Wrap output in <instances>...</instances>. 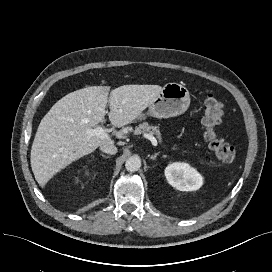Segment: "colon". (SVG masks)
<instances>
[{
	"label": "colon",
	"instance_id": "1",
	"mask_svg": "<svg viewBox=\"0 0 272 272\" xmlns=\"http://www.w3.org/2000/svg\"><path fill=\"white\" fill-rule=\"evenodd\" d=\"M223 109V103L215 95H207L203 105L202 125L209 148L219 160L230 163L235 160L236 152L234 147L225 141L219 129Z\"/></svg>",
	"mask_w": 272,
	"mask_h": 272
}]
</instances>
